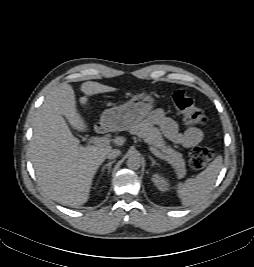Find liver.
Returning <instances> with one entry per match:
<instances>
[{"mask_svg":"<svg viewBox=\"0 0 254 267\" xmlns=\"http://www.w3.org/2000/svg\"><path fill=\"white\" fill-rule=\"evenodd\" d=\"M80 89L86 95L80 100L82 105L87 104V96L117 90L91 81L82 83ZM63 116L79 131L88 130L67 83L51 90L35 114L29 156L42 190L58 203L77 207L88 201L93 178L112 147L80 146ZM113 141L123 146L126 140L116 137Z\"/></svg>","mask_w":254,"mask_h":267,"instance_id":"6515ba94","label":"liver"}]
</instances>
